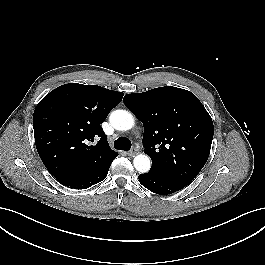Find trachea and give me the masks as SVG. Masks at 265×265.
I'll return each mask as SVG.
<instances>
[{"label":"trachea","instance_id":"1","mask_svg":"<svg viewBox=\"0 0 265 265\" xmlns=\"http://www.w3.org/2000/svg\"><path fill=\"white\" fill-rule=\"evenodd\" d=\"M114 147L118 150L128 151L131 148V142L126 137H120L114 142Z\"/></svg>","mask_w":265,"mask_h":265}]
</instances>
